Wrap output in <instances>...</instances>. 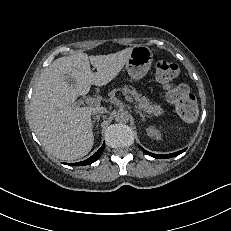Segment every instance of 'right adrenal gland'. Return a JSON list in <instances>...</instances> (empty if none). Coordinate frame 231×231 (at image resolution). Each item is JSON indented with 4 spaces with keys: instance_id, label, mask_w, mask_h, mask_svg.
<instances>
[{
    "instance_id": "obj_1",
    "label": "right adrenal gland",
    "mask_w": 231,
    "mask_h": 231,
    "mask_svg": "<svg viewBox=\"0 0 231 231\" xmlns=\"http://www.w3.org/2000/svg\"><path fill=\"white\" fill-rule=\"evenodd\" d=\"M100 117H101V114L93 117V125H95L96 121L99 122ZM96 128L98 129V124L96 125ZM97 133H98V131H97Z\"/></svg>"
}]
</instances>
